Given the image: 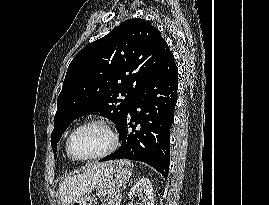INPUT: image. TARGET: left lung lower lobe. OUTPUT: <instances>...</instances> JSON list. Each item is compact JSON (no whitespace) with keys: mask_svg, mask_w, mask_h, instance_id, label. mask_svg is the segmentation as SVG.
Returning a JSON list of instances; mask_svg holds the SVG:
<instances>
[{"mask_svg":"<svg viewBox=\"0 0 269 205\" xmlns=\"http://www.w3.org/2000/svg\"><path fill=\"white\" fill-rule=\"evenodd\" d=\"M177 89L178 68L171 53L158 74L134 99L118 127L120 148L101 161L122 158L141 161L167 178Z\"/></svg>","mask_w":269,"mask_h":205,"instance_id":"1","label":"left lung lower lobe"}]
</instances>
